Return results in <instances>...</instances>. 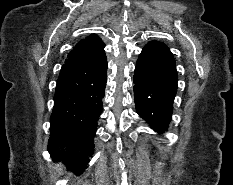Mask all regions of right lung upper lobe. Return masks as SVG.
Returning <instances> with one entry per match:
<instances>
[{
    "label": "right lung upper lobe",
    "mask_w": 233,
    "mask_h": 185,
    "mask_svg": "<svg viewBox=\"0 0 233 185\" xmlns=\"http://www.w3.org/2000/svg\"><path fill=\"white\" fill-rule=\"evenodd\" d=\"M104 46L105 44L98 36L90 35L74 47L65 62H100L106 58Z\"/></svg>",
    "instance_id": "right-lung-upper-lobe-1"
}]
</instances>
